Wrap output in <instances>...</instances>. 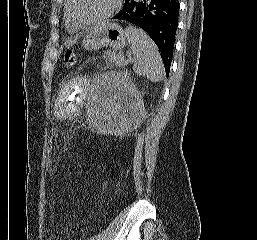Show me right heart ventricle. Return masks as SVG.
<instances>
[{
  "label": "right heart ventricle",
  "instance_id": "right-heart-ventricle-1",
  "mask_svg": "<svg viewBox=\"0 0 257 240\" xmlns=\"http://www.w3.org/2000/svg\"><path fill=\"white\" fill-rule=\"evenodd\" d=\"M64 20H65V27H66V30L68 32L75 33V32L78 31L79 28L76 27L75 25H73L68 18V15H67V12H66V6H65V9H64Z\"/></svg>",
  "mask_w": 257,
  "mask_h": 240
}]
</instances>
